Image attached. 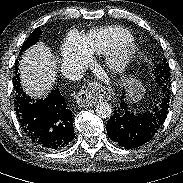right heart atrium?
Returning <instances> with one entry per match:
<instances>
[{"mask_svg":"<svg viewBox=\"0 0 183 183\" xmlns=\"http://www.w3.org/2000/svg\"><path fill=\"white\" fill-rule=\"evenodd\" d=\"M61 58L64 64H84L87 61V57L75 37L66 40L62 47Z\"/></svg>","mask_w":183,"mask_h":183,"instance_id":"d8ad5b80","label":"right heart atrium"}]
</instances>
